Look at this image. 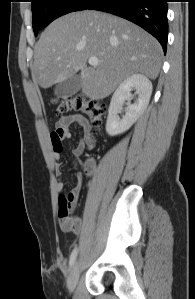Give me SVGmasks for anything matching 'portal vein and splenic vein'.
<instances>
[{"instance_id": "18ae733b", "label": "portal vein and splenic vein", "mask_w": 195, "mask_h": 299, "mask_svg": "<svg viewBox=\"0 0 195 299\" xmlns=\"http://www.w3.org/2000/svg\"><path fill=\"white\" fill-rule=\"evenodd\" d=\"M88 63H89V65L95 67V66H98L99 61H98V58H97V57H90V58L88 59Z\"/></svg>"}]
</instances>
